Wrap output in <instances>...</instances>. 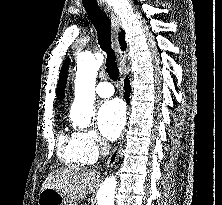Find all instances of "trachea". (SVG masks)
<instances>
[{
  "mask_svg": "<svg viewBox=\"0 0 222 205\" xmlns=\"http://www.w3.org/2000/svg\"><path fill=\"white\" fill-rule=\"evenodd\" d=\"M88 17L96 28L98 42L106 53V72L113 81H120V72L116 62L115 52L111 46V21L98 7L84 6Z\"/></svg>",
  "mask_w": 222,
  "mask_h": 205,
  "instance_id": "1",
  "label": "trachea"
}]
</instances>
